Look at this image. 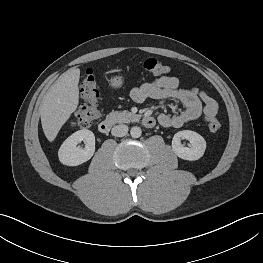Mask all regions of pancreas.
I'll list each match as a JSON object with an SVG mask.
<instances>
[{
    "mask_svg": "<svg viewBox=\"0 0 263 263\" xmlns=\"http://www.w3.org/2000/svg\"><path fill=\"white\" fill-rule=\"evenodd\" d=\"M107 119L115 123H128L136 121L138 119V115H135L126 110L122 112L113 111L107 115Z\"/></svg>",
    "mask_w": 263,
    "mask_h": 263,
    "instance_id": "cf45deb5",
    "label": "pancreas"
}]
</instances>
